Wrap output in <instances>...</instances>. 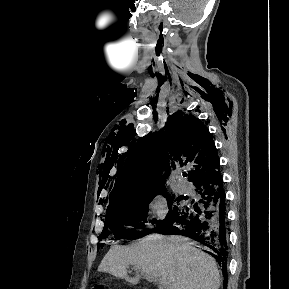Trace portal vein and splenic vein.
Returning <instances> with one entry per match:
<instances>
[{"label":"portal vein and splenic vein","mask_w":289,"mask_h":289,"mask_svg":"<svg viewBox=\"0 0 289 289\" xmlns=\"http://www.w3.org/2000/svg\"><path fill=\"white\" fill-rule=\"evenodd\" d=\"M160 285H161V289H164L165 285H164V282L162 280H160Z\"/></svg>","instance_id":"obj_1"}]
</instances>
